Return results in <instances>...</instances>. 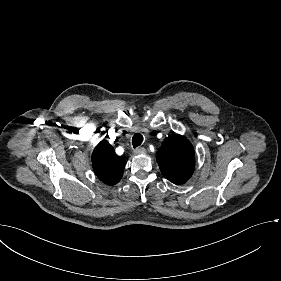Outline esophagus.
Masks as SVG:
<instances>
[{
	"label": "esophagus",
	"instance_id": "obj_1",
	"mask_svg": "<svg viewBox=\"0 0 281 281\" xmlns=\"http://www.w3.org/2000/svg\"><path fill=\"white\" fill-rule=\"evenodd\" d=\"M136 154H146V149L144 147H139L134 150Z\"/></svg>",
	"mask_w": 281,
	"mask_h": 281
}]
</instances>
